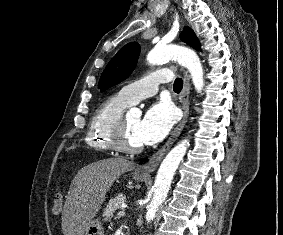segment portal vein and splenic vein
Returning <instances> with one entry per match:
<instances>
[{
	"label": "portal vein and splenic vein",
	"mask_w": 283,
	"mask_h": 235,
	"mask_svg": "<svg viewBox=\"0 0 283 235\" xmlns=\"http://www.w3.org/2000/svg\"><path fill=\"white\" fill-rule=\"evenodd\" d=\"M124 208H125V207H124ZM124 208H123L121 211L118 212V214H117L118 217H121V216H124V215H125V210H124Z\"/></svg>",
	"instance_id": "18ae733b"
}]
</instances>
